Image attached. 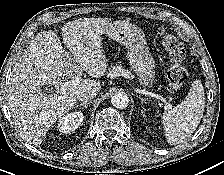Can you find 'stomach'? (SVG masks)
I'll list each match as a JSON object with an SVG mask.
<instances>
[{"label":"stomach","instance_id":"1","mask_svg":"<svg viewBox=\"0 0 224 175\" xmlns=\"http://www.w3.org/2000/svg\"><path fill=\"white\" fill-rule=\"evenodd\" d=\"M104 34L128 48V61L138 75L140 85L151 87L155 78V62L141 30L127 21H115L105 28Z\"/></svg>","mask_w":224,"mask_h":175}]
</instances>
